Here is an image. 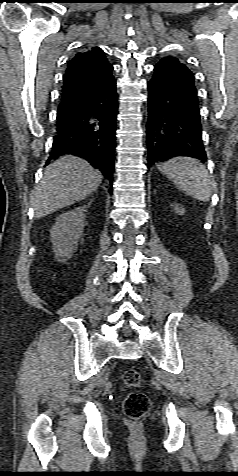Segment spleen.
Masks as SVG:
<instances>
[{
  "instance_id": "obj_1",
  "label": "spleen",
  "mask_w": 238,
  "mask_h": 476,
  "mask_svg": "<svg viewBox=\"0 0 238 476\" xmlns=\"http://www.w3.org/2000/svg\"><path fill=\"white\" fill-rule=\"evenodd\" d=\"M158 169L186 194L203 202L210 199L211 183L208 171L196 159L176 157L159 164Z\"/></svg>"
}]
</instances>
